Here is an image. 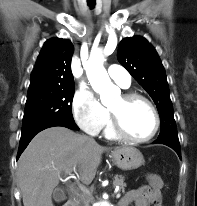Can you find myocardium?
Masks as SVG:
<instances>
[{
    "label": "myocardium",
    "instance_id": "obj_1",
    "mask_svg": "<svg viewBox=\"0 0 197 206\" xmlns=\"http://www.w3.org/2000/svg\"><path fill=\"white\" fill-rule=\"evenodd\" d=\"M122 99L126 103H130L134 101H142L146 103L150 107L153 113L155 124H154V128L152 132L147 137H143V138L134 137L125 129V127L122 124L120 116L109 108L111 125H112V129L115 132V134L123 139L137 142V143H144V142H148L151 139H153L155 135L157 134L160 128V124H161L160 115L154 103L146 96L141 95L139 93H135V92L124 93L122 95Z\"/></svg>",
    "mask_w": 197,
    "mask_h": 206
}]
</instances>
